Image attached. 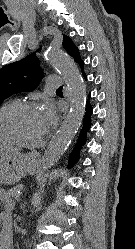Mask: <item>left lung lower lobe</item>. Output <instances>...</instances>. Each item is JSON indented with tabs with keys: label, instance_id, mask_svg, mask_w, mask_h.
Returning a JSON list of instances; mask_svg holds the SVG:
<instances>
[{
	"label": "left lung lower lobe",
	"instance_id": "0a47b994",
	"mask_svg": "<svg viewBox=\"0 0 135 249\" xmlns=\"http://www.w3.org/2000/svg\"><path fill=\"white\" fill-rule=\"evenodd\" d=\"M81 70H82V74H83L84 78L87 79L86 74L83 71V66L81 67ZM89 98H90V94H89ZM91 114H92V106L90 105L89 101H87L86 114H85V117H84V125H83L81 133L79 135L78 142H77V144L75 145L73 151L70 154L68 168H72L75 165V163H77V161L79 159L80 148H81L82 145L85 144V142H86V133L91 127V120H90Z\"/></svg>",
	"mask_w": 135,
	"mask_h": 249
}]
</instances>
